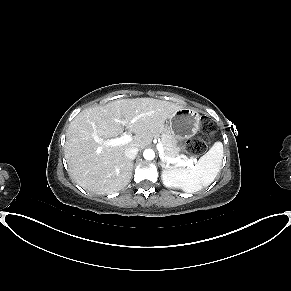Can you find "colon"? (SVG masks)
<instances>
[{
  "label": "colon",
  "mask_w": 291,
  "mask_h": 291,
  "mask_svg": "<svg viewBox=\"0 0 291 291\" xmlns=\"http://www.w3.org/2000/svg\"><path fill=\"white\" fill-rule=\"evenodd\" d=\"M216 129L215 123L209 119H203L201 122V132L203 139H190L185 144V150L192 155H198L204 152L207 145V137Z\"/></svg>",
  "instance_id": "1"
}]
</instances>
